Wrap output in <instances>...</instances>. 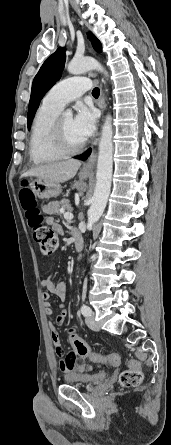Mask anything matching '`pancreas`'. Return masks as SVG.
Returning <instances> with one entry per match:
<instances>
[{
    "mask_svg": "<svg viewBox=\"0 0 171 445\" xmlns=\"http://www.w3.org/2000/svg\"><path fill=\"white\" fill-rule=\"evenodd\" d=\"M53 207H54V213L59 214L60 210L59 208H63V209H70L71 205L69 200L67 199H63L60 202L56 201L52 203Z\"/></svg>",
    "mask_w": 171,
    "mask_h": 445,
    "instance_id": "cf45deb5",
    "label": "pancreas"
}]
</instances>
